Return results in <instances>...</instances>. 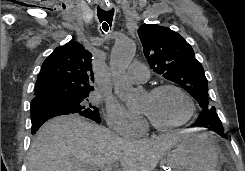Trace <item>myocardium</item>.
Listing matches in <instances>:
<instances>
[{
  "mask_svg": "<svg viewBox=\"0 0 245 171\" xmlns=\"http://www.w3.org/2000/svg\"><path fill=\"white\" fill-rule=\"evenodd\" d=\"M169 89L176 90L185 97V99L188 102L189 110L185 118H183L181 121L174 123V124H168V125L159 124L156 121H154L151 117H149L148 115H145L149 124L158 131H171V130L180 128L184 126L185 124H187L193 118L196 112V105H195V102L192 96L189 94L188 91H186L183 87L179 85L172 84V83H165V84L157 85L151 88L148 94L156 95L162 91L169 90Z\"/></svg>",
  "mask_w": 245,
  "mask_h": 171,
  "instance_id": "f54148a6",
  "label": "myocardium"
}]
</instances>
